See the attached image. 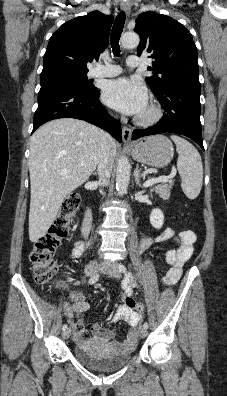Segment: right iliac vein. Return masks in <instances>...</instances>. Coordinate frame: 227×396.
Masks as SVG:
<instances>
[{"mask_svg": "<svg viewBox=\"0 0 227 396\" xmlns=\"http://www.w3.org/2000/svg\"><path fill=\"white\" fill-rule=\"evenodd\" d=\"M102 266H103V265L100 264L98 261L93 260V261H91V262L87 265V267H86V269H85V273H86L87 276H92V275H94L100 268H102ZM70 335H71V329H66V330L63 332V334H62V336H63L64 339H68V338L70 337Z\"/></svg>", "mask_w": 227, "mask_h": 396, "instance_id": "63e3f726", "label": "right iliac vein"}]
</instances>
